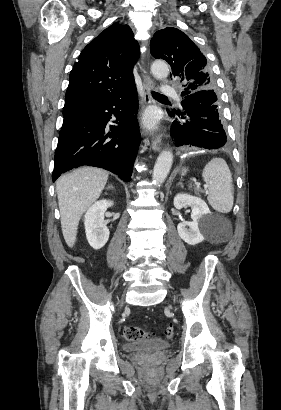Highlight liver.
I'll use <instances>...</instances> for the list:
<instances>
[{"mask_svg": "<svg viewBox=\"0 0 281 410\" xmlns=\"http://www.w3.org/2000/svg\"><path fill=\"white\" fill-rule=\"evenodd\" d=\"M108 175L103 169L83 167L56 182L62 233L69 247L76 242L81 216L100 197Z\"/></svg>", "mask_w": 281, "mask_h": 410, "instance_id": "1", "label": "liver"}]
</instances>
